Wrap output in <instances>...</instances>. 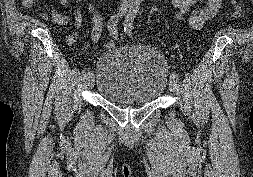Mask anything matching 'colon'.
Returning a JSON list of instances; mask_svg holds the SVG:
<instances>
[{
	"mask_svg": "<svg viewBox=\"0 0 253 177\" xmlns=\"http://www.w3.org/2000/svg\"><path fill=\"white\" fill-rule=\"evenodd\" d=\"M232 3L234 5L233 16L236 19H243L244 14H245V7H244L243 1L242 0H233ZM105 47L109 50L114 49L115 48L114 40L112 38L108 37L105 40Z\"/></svg>",
	"mask_w": 253,
	"mask_h": 177,
	"instance_id": "colon-1",
	"label": "colon"
}]
</instances>
